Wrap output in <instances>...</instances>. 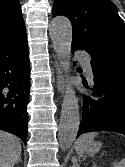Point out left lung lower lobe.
I'll return each instance as SVG.
<instances>
[{
    "label": "left lung lower lobe",
    "mask_w": 125,
    "mask_h": 167,
    "mask_svg": "<svg viewBox=\"0 0 125 167\" xmlns=\"http://www.w3.org/2000/svg\"><path fill=\"white\" fill-rule=\"evenodd\" d=\"M82 49L72 45V51ZM95 86L83 96L78 136L108 130L125 135V63L113 56L92 57ZM86 86V85H85Z\"/></svg>",
    "instance_id": "0a47b994"
}]
</instances>
